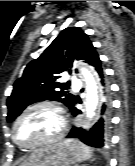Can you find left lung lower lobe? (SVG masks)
<instances>
[{"label": "left lung lower lobe", "instance_id": "obj_1", "mask_svg": "<svg viewBox=\"0 0 135 166\" xmlns=\"http://www.w3.org/2000/svg\"><path fill=\"white\" fill-rule=\"evenodd\" d=\"M95 70L97 71L100 83H101V90H102V104L100 107V118L95 123V125L89 130L85 131L82 128H72L71 132L68 134V138H78L83 143L96 147V148H103L108 143L109 139V127L111 124V101H110V88L108 82L104 76L101 61L99 56L93 58L92 62L90 63ZM78 103L76 99H74L70 110L74 116L81 113L75 107V104Z\"/></svg>", "mask_w": 135, "mask_h": 166}]
</instances>
